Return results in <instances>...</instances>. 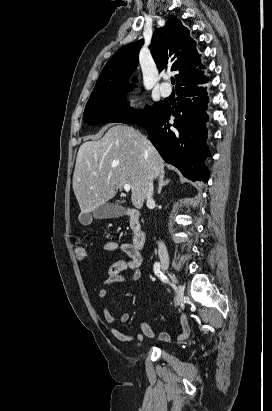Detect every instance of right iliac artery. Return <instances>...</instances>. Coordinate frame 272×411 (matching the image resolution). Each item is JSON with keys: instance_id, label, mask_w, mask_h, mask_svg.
Segmentation results:
<instances>
[{"instance_id": "right-iliac-artery-1", "label": "right iliac artery", "mask_w": 272, "mask_h": 411, "mask_svg": "<svg viewBox=\"0 0 272 411\" xmlns=\"http://www.w3.org/2000/svg\"><path fill=\"white\" fill-rule=\"evenodd\" d=\"M154 273L160 278V280L163 282V283H167V284H170L175 290L177 289L176 288V286L174 285V284H171L170 282H169V280H168V278L162 273V271H161V266H160V263L159 262H156L155 264H154Z\"/></svg>"}]
</instances>
